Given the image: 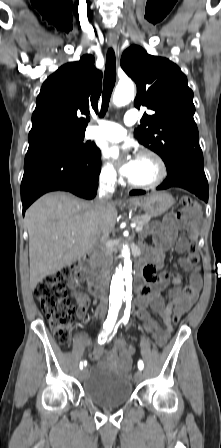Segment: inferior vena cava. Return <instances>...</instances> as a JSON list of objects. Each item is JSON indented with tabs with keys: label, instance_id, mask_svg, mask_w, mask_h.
<instances>
[{
	"label": "inferior vena cava",
	"instance_id": "inferior-vena-cava-1",
	"mask_svg": "<svg viewBox=\"0 0 221 448\" xmlns=\"http://www.w3.org/2000/svg\"><path fill=\"white\" fill-rule=\"evenodd\" d=\"M116 181L115 173H107L106 176L100 181L98 197L95 200V208L99 211H102L105 205L109 202L112 197V185ZM96 256L101 267V272L103 275H106L109 271V265L111 261V250L108 246V237L104 236L99 242V245L96 249ZM102 291L105 292V287L102 288ZM106 308V298H103L101 301V309L104 310Z\"/></svg>",
	"mask_w": 221,
	"mask_h": 448
}]
</instances>
